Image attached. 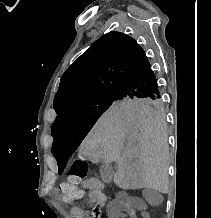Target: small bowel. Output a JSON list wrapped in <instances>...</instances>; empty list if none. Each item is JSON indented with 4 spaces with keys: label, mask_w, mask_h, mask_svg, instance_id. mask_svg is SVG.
Masks as SVG:
<instances>
[{
    "label": "small bowel",
    "mask_w": 211,
    "mask_h": 218,
    "mask_svg": "<svg viewBox=\"0 0 211 218\" xmlns=\"http://www.w3.org/2000/svg\"><path fill=\"white\" fill-rule=\"evenodd\" d=\"M82 187L87 191L89 200L92 203L100 207L104 206L106 196L104 194V184L101 181L94 178L88 179L82 183ZM51 194L55 197L58 196V190L53 188ZM72 214L74 218H85L87 216V211L79 207H74L72 209ZM140 215L146 217L145 213H141ZM112 216L118 218H138V211L130 206H122L114 209V211L112 210Z\"/></svg>",
    "instance_id": "c3829d8e"
}]
</instances>
